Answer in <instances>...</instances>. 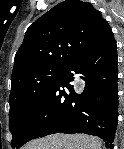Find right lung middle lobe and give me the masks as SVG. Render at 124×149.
Wrapping results in <instances>:
<instances>
[{"label": "right lung middle lobe", "instance_id": "right-lung-middle-lobe-1", "mask_svg": "<svg viewBox=\"0 0 124 149\" xmlns=\"http://www.w3.org/2000/svg\"><path fill=\"white\" fill-rule=\"evenodd\" d=\"M63 68L43 67L21 77L10 92L9 129L16 147L29 121L61 75Z\"/></svg>", "mask_w": 124, "mask_h": 149}]
</instances>
